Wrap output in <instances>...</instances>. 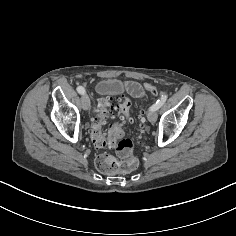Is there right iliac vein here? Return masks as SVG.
<instances>
[{"mask_svg": "<svg viewBox=\"0 0 236 236\" xmlns=\"http://www.w3.org/2000/svg\"><path fill=\"white\" fill-rule=\"evenodd\" d=\"M81 106L84 110H88L90 108V99L88 95L84 94L81 97Z\"/></svg>", "mask_w": 236, "mask_h": 236, "instance_id": "1", "label": "right iliac vein"}]
</instances>
